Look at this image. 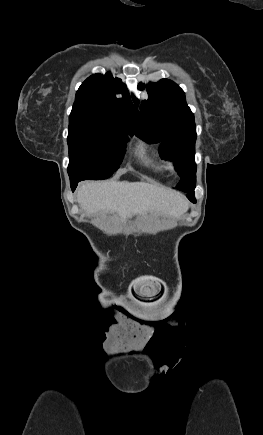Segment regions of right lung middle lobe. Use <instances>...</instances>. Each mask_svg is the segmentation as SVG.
I'll list each match as a JSON object with an SVG mask.
<instances>
[{
	"label": "right lung middle lobe",
	"mask_w": 263,
	"mask_h": 435,
	"mask_svg": "<svg viewBox=\"0 0 263 435\" xmlns=\"http://www.w3.org/2000/svg\"><path fill=\"white\" fill-rule=\"evenodd\" d=\"M126 131L81 117L69 118L68 174L72 180H101L119 168L125 153Z\"/></svg>",
	"instance_id": "right-lung-middle-lobe-1"
}]
</instances>
